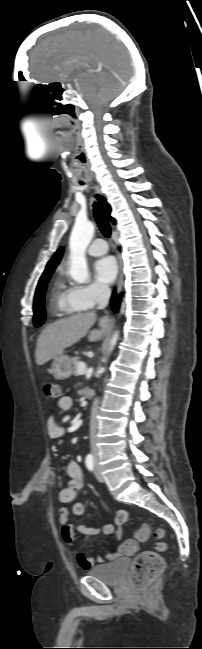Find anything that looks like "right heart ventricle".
I'll use <instances>...</instances> for the list:
<instances>
[{
    "label": "right heart ventricle",
    "mask_w": 202,
    "mask_h": 649,
    "mask_svg": "<svg viewBox=\"0 0 202 649\" xmlns=\"http://www.w3.org/2000/svg\"><path fill=\"white\" fill-rule=\"evenodd\" d=\"M73 290L61 273L54 278L50 292V308L53 313L66 316L81 311L82 308L72 298Z\"/></svg>",
    "instance_id": "e07e8e85"
}]
</instances>
